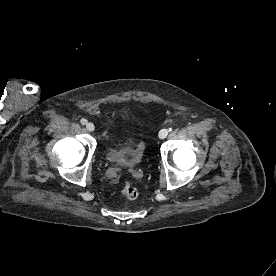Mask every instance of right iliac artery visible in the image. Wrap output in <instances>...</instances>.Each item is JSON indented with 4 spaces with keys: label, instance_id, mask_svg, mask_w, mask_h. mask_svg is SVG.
<instances>
[{
    "label": "right iliac artery",
    "instance_id": "obj_1",
    "mask_svg": "<svg viewBox=\"0 0 276 276\" xmlns=\"http://www.w3.org/2000/svg\"><path fill=\"white\" fill-rule=\"evenodd\" d=\"M80 123H81L82 125H85V124L87 123V120L84 119V118H82V119L80 120Z\"/></svg>",
    "mask_w": 276,
    "mask_h": 276
}]
</instances>
